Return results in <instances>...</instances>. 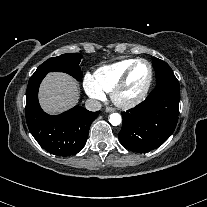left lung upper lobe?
Masks as SVG:
<instances>
[{"label":"left lung upper lobe","mask_w":207,"mask_h":207,"mask_svg":"<svg viewBox=\"0 0 207 207\" xmlns=\"http://www.w3.org/2000/svg\"><path fill=\"white\" fill-rule=\"evenodd\" d=\"M152 63L155 68L157 84H160L166 81L177 80L172 69L166 62L158 58H154Z\"/></svg>","instance_id":"1"}]
</instances>
